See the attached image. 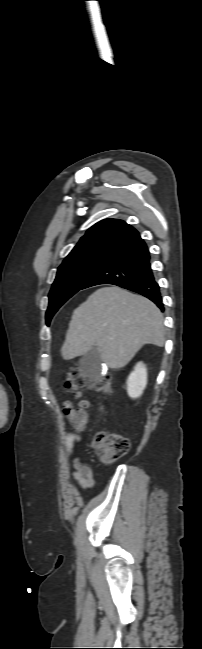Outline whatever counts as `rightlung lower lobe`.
Here are the masks:
<instances>
[{
    "instance_id": "98d812e1",
    "label": "right lung lower lobe",
    "mask_w": 202,
    "mask_h": 649,
    "mask_svg": "<svg viewBox=\"0 0 202 649\" xmlns=\"http://www.w3.org/2000/svg\"><path fill=\"white\" fill-rule=\"evenodd\" d=\"M99 284H113L137 292L164 310L160 287L153 276L150 253L144 241L114 255L88 279L82 289Z\"/></svg>"
}]
</instances>
